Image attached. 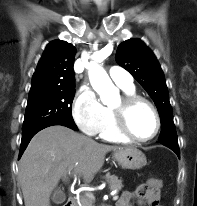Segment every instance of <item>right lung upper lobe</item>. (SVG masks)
Segmentation results:
<instances>
[{
    "label": "right lung upper lobe",
    "mask_w": 197,
    "mask_h": 206,
    "mask_svg": "<svg viewBox=\"0 0 197 206\" xmlns=\"http://www.w3.org/2000/svg\"><path fill=\"white\" fill-rule=\"evenodd\" d=\"M76 49L66 41L50 42L32 77L31 89L75 87L74 56Z\"/></svg>",
    "instance_id": "right-lung-upper-lobe-1"
}]
</instances>
